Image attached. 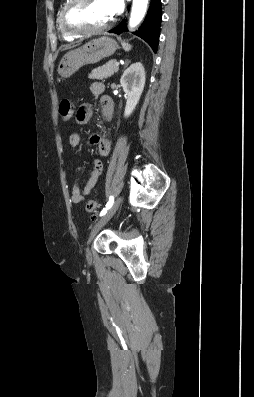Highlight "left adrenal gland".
<instances>
[{
    "instance_id": "left-adrenal-gland-1",
    "label": "left adrenal gland",
    "mask_w": 254,
    "mask_h": 397,
    "mask_svg": "<svg viewBox=\"0 0 254 397\" xmlns=\"http://www.w3.org/2000/svg\"><path fill=\"white\" fill-rule=\"evenodd\" d=\"M129 62H130L129 60H126V63H125V65L127 66V65L129 64Z\"/></svg>"
}]
</instances>
